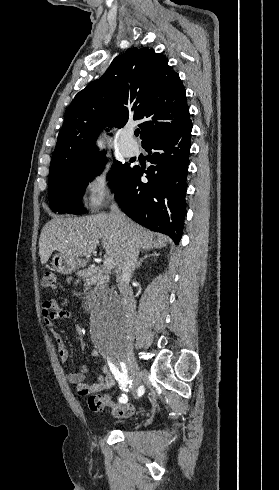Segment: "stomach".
<instances>
[{"label":"stomach","mask_w":279,"mask_h":490,"mask_svg":"<svg viewBox=\"0 0 279 490\" xmlns=\"http://www.w3.org/2000/svg\"><path fill=\"white\" fill-rule=\"evenodd\" d=\"M51 264L59 274H73L75 270H78L82 266L79 258H69V256H64V254H55Z\"/></svg>","instance_id":"0dacf381"}]
</instances>
